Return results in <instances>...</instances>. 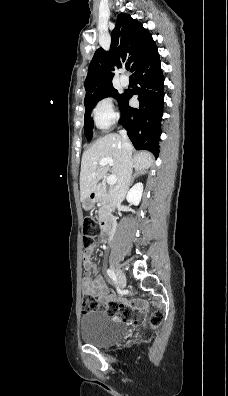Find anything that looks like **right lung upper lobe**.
<instances>
[{
  "label": "right lung upper lobe",
  "mask_w": 228,
  "mask_h": 396,
  "mask_svg": "<svg viewBox=\"0 0 228 396\" xmlns=\"http://www.w3.org/2000/svg\"><path fill=\"white\" fill-rule=\"evenodd\" d=\"M155 46L152 35L140 22L120 13L111 34L110 50L99 48L90 63L85 80V99L112 86L114 66L120 68L122 62L127 61L134 72Z\"/></svg>",
  "instance_id": "1"
}]
</instances>
